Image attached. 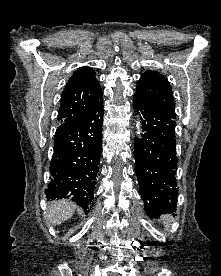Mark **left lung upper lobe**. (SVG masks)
Wrapping results in <instances>:
<instances>
[{
    "mask_svg": "<svg viewBox=\"0 0 221 276\" xmlns=\"http://www.w3.org/2000/svg\"><path fill=\"white\" fill-rule=\"evenodd\" d=\"M137 92L143 102L152 110L175 119V105L171 86L167 79L154 71H146L139 79Z\"/></svg>",
    "mask_w": 221,
    "mask_h": 276,
    "instance_id": "left-lung-upper-lobe-1",
    "label": "left lung upper lobe"
}]
</instances>
